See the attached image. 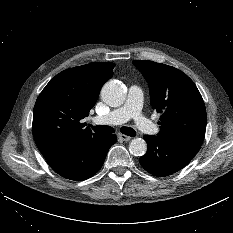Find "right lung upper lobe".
<instances>
[{
	"label": "right lung upper lobe",
	"instance_id": "obj_1",
	"mask_svg": "<svg viewBox=\"0 0 233 233\" xmlns=\"http://www.w3.org/2000/svg\"><path fill=\"white\" fill-rule=\"evenodd\" d=\"M114 63H90L64 70L46 85L34 106L33 136L45 159L70 151L93 134L84 117L95 105L103 84L113 76Z\"/></svg>",
	"mask_w": 233,
	"mask_h": 233
}]
</instances>
